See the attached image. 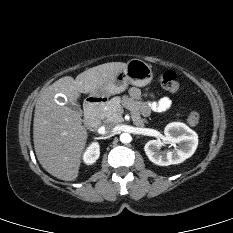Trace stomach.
I'll list each match as a JSON object with an SVG mask.
<instances>
[{
  "mask_svg": "<svg viewBox=\"0 0 233 233\" xmlns=\"http://www.w3.org/2000/svg\"><path fill=\"white\" fill-rule=\"evenodd\" d=\"M152 79L153 72L149 64L140 59H131L112 82L92 93L91 96L109 97L123 92L128 84L143 87L148 85Z\"/></svg>",
  "mask_w": 233,
  "mask_h": 233,
  "instance_id": "0dacf381",
  "label": "stomach"
}]
</instances>
